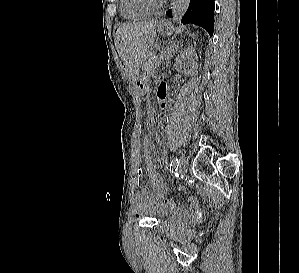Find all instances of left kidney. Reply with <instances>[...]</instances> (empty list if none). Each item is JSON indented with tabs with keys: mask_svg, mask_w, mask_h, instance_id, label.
Masks as SVG:
<instances>
[{
	"mask_svg": "<svg viewBox=\"0 0 299 273\" xmlns=\"http://www.w3.org/2000/svg\"><path fill=\"white\" fill-rule=\"evenodd\" d=\"M197 55L195 49L189 47L182 50L176 58V68L186 75L194 73L197 66Z\"/></svg>",
	"mask_w": 299,
	"mask_h": 273,
	"instance_id": "left-kidney-1",
	"label": "left kidney"
}]
</instances>
